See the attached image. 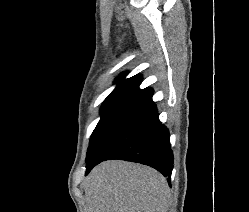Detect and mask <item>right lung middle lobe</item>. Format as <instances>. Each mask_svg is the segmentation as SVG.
Instances as JSON below:
<instances>
[{
    "label": "right lung middle lobe",
    "mask_w": 249,
    "mask_h": 212,
    "mask_svg": "<svg viewBox=\"0 0 249 212\" xmlns=\"http://www.w3.org/2000/svg\"><path fill=\"white\" fill-rule=\"evenodd\" d=\"M135 99H137V97L131 95H110L105 99L100 109V121L98 122L90 138L86 160L92 155L99 140L105 134L109 126Z\"/></svg>",
    "instance_id": "1"
}]
</instances>
